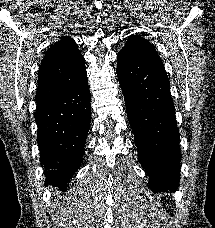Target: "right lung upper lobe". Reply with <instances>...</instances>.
<instances>
[{
	"mask_svg": "<svg viewBox=\"0 0 215 228\" xmlns=\"http://www.w3.org/2000/svg\"><path fill=\"white\" fill-rule=\"evenodd\" d=\"M87 74L85 60L76 42L65 36L45 53L40 65L36 104L40 107L66 91L69 82Z\"/></svg>",
	"mask_w": 215,
	"mask_h": 228,
	"instance_id": "1",
	"label": "right lung upper lobe"
}]
</instances>
